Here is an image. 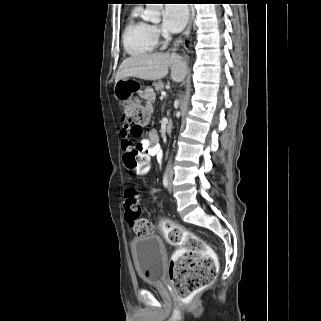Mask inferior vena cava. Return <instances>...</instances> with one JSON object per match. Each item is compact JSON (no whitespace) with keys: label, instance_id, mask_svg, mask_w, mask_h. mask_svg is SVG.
I'll use <instances>...</instances> for the list:
<instances>
[{"label":"inferior vena cava","instance_id":"inferior-vena-cava-1","mask_svg":"<svg viewBox=\"0 0 321 321\" xmlns=\"http://www.w3.org/2000/svg\"><path fill=\"white\" fill-rule=\"evenodd\" d=\"M177 43H179V42H177ZM167 173H168V176L172 177L173 169H172L171 160L168 162V165H167Z\"/></svg>","mask_w":321,"mask_h":321}]
</instances>
